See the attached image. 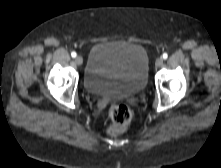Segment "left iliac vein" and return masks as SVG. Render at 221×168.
<instances>
[{
    "mask_svg": "<svg viewBox=\"0 0 221 168\" xmlns=\"http://www.w3.org/2000/svg\"><path fill=\"white\" fill-rule=\"evenodd\" d=\"M155 64L157 67L162 66L163 65V58L162 57L157 58Z\"/></svg>",
    "mask_w": 221,
    "mask_h": 168,
    "instance_id": "obj_1",
    "label": "left iliac vein"
}]
</instances>
